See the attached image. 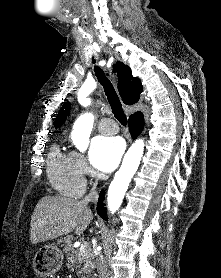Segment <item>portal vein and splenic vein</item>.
Listing matches in <instances>:
<instances>
[{
  "label": "portal vein and splenic vein",
  "instance_id": "18ae733b",
  "mask_svg": "<svg viewBox=\"0 0 221 278\" xmlns=\"http://www.w3.org/2000/svg\"><path fill=\"white\" fill-rule=\"evenodd\" d=\"M88 248V244L86 242H83L79 248L80 250V254H82L83 252L86 251V249Z\"/></svg>",
  "mask_w": 221,
  "mask_h": 278
}]
</instances>
